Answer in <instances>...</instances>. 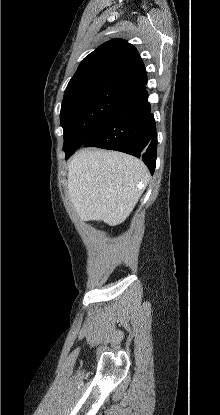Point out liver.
<instances>
[{"label": "liver", "mask_w": 220, "mask_h": 415, "mask_svg": "<svg viewBox=\"0 0 220 415\" xmlns=\"http://www.w3.org/2000/svg\"><path fill=\"white\" fill-rule=\"evenodd\" d=\"M68 194L81 220L118 225L133 211L147 185L145 164L117 151L83 149L71 159Z\"/></svg>", "instance_id": "6515ba94"}]
</instances>
